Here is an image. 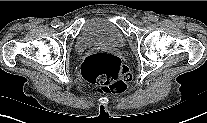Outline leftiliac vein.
<instances>
[{"mask_svg": "<svg viewBox=\"0 0 207 123\" xmlns=\"http://www.w3.org/2000/svg\"><path fill=\"white\" fill-rule=\"evenodd\" d=\"M142 20H143L144 23H149L150 22L149 18H147V17H143Z\"/></svg>", "mask_w": 207, "mask_h": 123, "instance_id": "left-iliac-vein-1", "label": "left iliac vein"}]
</instances>
